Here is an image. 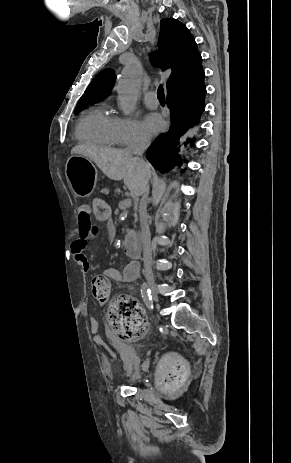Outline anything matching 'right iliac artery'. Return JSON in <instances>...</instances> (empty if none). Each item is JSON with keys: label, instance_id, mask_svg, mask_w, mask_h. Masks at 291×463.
<instances>
[{"label": "right iliac artery", "instance_id": "obj_1", "mask_svg": "<svg viewBox=\"0 0 291 463\" xmlns=\"http://www.w3.org/2000/svg\"><path fill=\"white\" fill-rule=\"evenodd\" d=\"M141 295H142L143 301L145 302L146 306L149 309H153L151 290L148 288V285L146 283H143L141 287Z\"/></svg>", "mask_w": 291, "mask_h": 463}]
</instances>
